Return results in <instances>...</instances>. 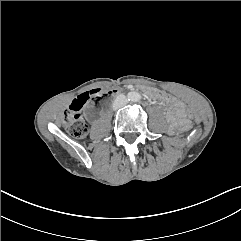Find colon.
<instances>
[{"label":"colon","mask_w":241,"mask_h":241,"mask_svg":"<svg viewBox=\"0 0 241 241\" xmlns=\"http://www.w3.org/2000/svg\"><path fill=\"white\" fill-rule=\"evenodd\" d=\"M100 95V89H94L88 92H85L78 96L76 100L72 103L69 109L64 114V124L69 132V134L74 138H83L87 133V126L82 121L80 114L78 111L82 106H84L89 100L98 98ZM162 95V94H161ZM191 126L190 125H183L181 127H174L173 128V135L174 136H181L183 134H190L191 133Z\"/></svg>","instance_id":"colon-1"}]
</instances>
